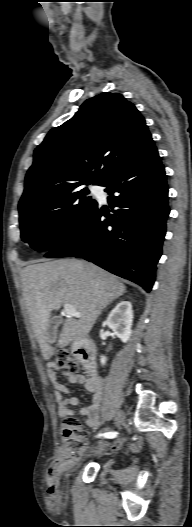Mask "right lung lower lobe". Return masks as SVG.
Instances as JSON below:
<instances>
[{
    "instance_id": "1",
    "label": "right lung lower lobe",
    "mask_w": 192,
    "mask_h": 527,
    "mask_svg": "<svg viewBox=\"0 0 192 527\" xmlns=\"http://www.w3.org/2000/svg\"><path fill=\"white\" fill-rule=\"evenodd\" d=\"M101 186L107 187L112 214L97 203L85 223L45 256L82 257L149 292L170 211L164 166L153 140Z\"/></svg>"
}]
</instances>
